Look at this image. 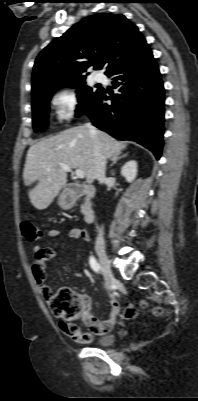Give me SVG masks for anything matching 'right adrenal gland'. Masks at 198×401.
<instances>
[{"label": "right adrenal gland", "instance_id": "1", "mask_svg": "<svg viewBox=\"0 0 198 401\" xmlns=\"http://www.w3.org/2000/svg\"><path fill=\"white\" fill-rule=\"evenodd\" d=\"M127 155H128V153L123 154V155L120 156V157H113V158L111 159L112 163L110 164V167H112L119 159L124 158V157H126Z\"/></svg>", "mask_w": 198, "mask_h": 401}]
</instances>
